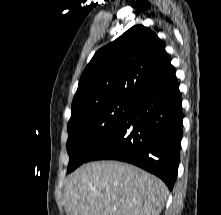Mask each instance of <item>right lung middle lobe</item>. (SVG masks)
Instances as JSON below:
<instances>
[{"label": "right lung middle lobe", "instance_id": "dd1d6c3e", "mask_svg": "<svg viewBox=\"0 0 221 215\" xmlns=\"http://www.w3.org/2000/svg\"><path fill=\"white\" fill-rule=\"evenodd\" d=\"M132 105L130 100L112 99L71 107L67 125L68 173L87 161L93 150L129 113Z\"/></svg>", "mask_w": 221, "mask_h": 215}]
</instances>
